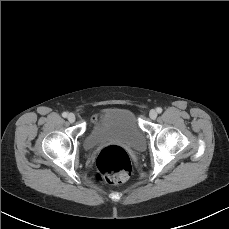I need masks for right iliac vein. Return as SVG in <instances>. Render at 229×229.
Returning <instances> with one entry per match:
<instances>
[{
  "label": "right iliac vein",
  "instance_id": "63e3f726",
  "mask_svg": "<svg viewBox=\"0 0 229 229\" xmlns=\"http://www.w3.org/2000/svg\"><path fill=\"white\" fill-rule=\"evenodd\" d=\"M67 118H68V121L71 123H73L76 119V117L73 113H70Z\"/></svg>",
  "mask_w": 229,
  "mask_h": 229
}]
</instances>
